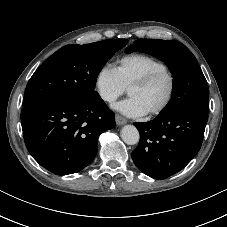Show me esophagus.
Segmentation results:
<instances>
[{
	"label": "esophagus",
	"mask_w": 227,
	"mask_h": 227,
	"mask_svg": "<svg viewBox=\"0 0 227 227\" xmlns=\"http://www.w3.org/2000/svg\"><path fill=\"white\" fill-rule=\"evenodd\" d=\"M115 121H116V124L119 125V126L127 123V120L124 119L123 117H121L120 115L115 116Z\"/></svg>",
	"instance_id": "obj_1"
}]
</instances>
